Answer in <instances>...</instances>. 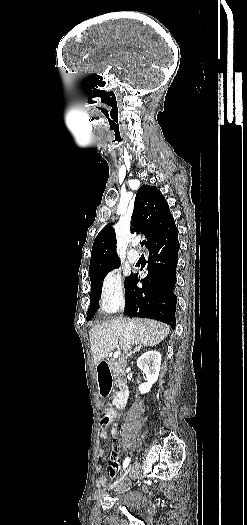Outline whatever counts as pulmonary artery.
Listing matches in <instances>:
<instances>
[{
	"label": "pulmonary artery",
	"instance_id": "pulmonary-artery-1",
	"mask_svg": "<svg viewBox=\"0 0 247 525\" xmlns=\"http://www.w3.org/2000/svg\"><path fill=\"white\" fill-rule=\"evenodd\" d=\"M126 256L128 257V261H138L139 260V253L135 251L134 248L129 247L125 251Z\"/></svg>",
	"mask_w": 247,
	"mask_h": 525
}]
</instances>
